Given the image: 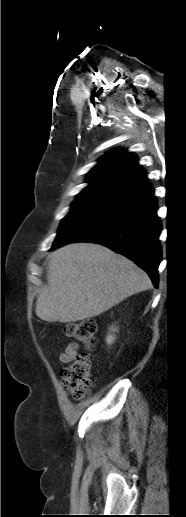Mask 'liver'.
I'll list each match as a JSON object with an SVG mask.
<instances>
[{
	"label": "liver",
	"mask_w": 186,
	"mask_h": 517,
	"mask_svg": "<svg viewBox=\"0 0 186 517\" xmlns=\"http://www.w3.org/2000/svg\"><path fill=\"white\" fill-rule=\"evenodd\" d=\"M47 282L37 298L36 315L47 322L62 323L95 317L151 287L147 273L131 260L92 243L55 250Z\"/></svg>",
	"instance_id": "1"
}]
</instances>
